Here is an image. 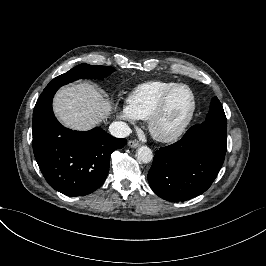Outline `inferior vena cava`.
Instances as JSON below:
<instances>
[{"label":"inferior vena cava","mask_w":266,"mask_h":266,"mask_svg":"<svg viewBox=\"0 0 266 266\" xmlns=\"http://www.w3.org/2000/svg\"><path fill=\"white\" fill-rule=\"evenodd\" d=\"M109 131L112 136L117 138H125L129 136L132 131L124 122H113L110 124Z\"/></svg>","instance_id":"inferior-vena-cava-1"}]
</instances>
